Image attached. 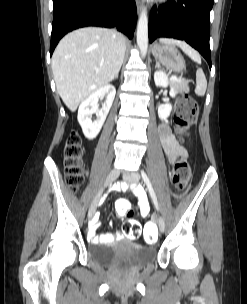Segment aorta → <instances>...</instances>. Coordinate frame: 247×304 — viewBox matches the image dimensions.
I'll use <instances>...</instances> for the list:
<instances>
[{
  "label": "aorta",
  "mask_w": 247,
  "mask_h": 304,
  "mask_svg": "<svg viewBox=\"0 0 247 304\" xmlns=\"http://www.w3.org/2000/svg\"><path fill=\"white\" fill-rule=\"evenodd\" d=\"M137 45L140 53L145 57L148 49V18L147 11L145 9L140 13V17L137 25Z\"/></svg>",
  "instance_id": "1"
}]
</instances>
